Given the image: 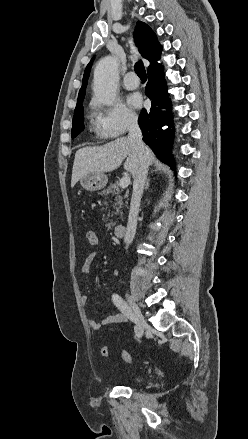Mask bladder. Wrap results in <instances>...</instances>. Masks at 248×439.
<instances>
[{
	"label": "bladder",
	"instance_id": "1",
	"mask_svg": "<svg viewBox=\"0 0 248 439\" xmlns=\"http://www.w3.org/2000/svg\"><path fill=\"white\" fill-rule=\"evenodd\" d=\"M144 377L145 376L143 374L134 375V376L130 377L129 379H127V382L129 384H137V383H140L144 379Z\"/></svg>",
	"mask_w": 248,
	"mask_h": 439
}]
</instances>
